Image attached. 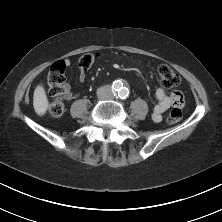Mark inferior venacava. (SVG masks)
Returning <instances> with one entry per match:
<instances>
[{"mask_svg":"<svg viewBox=\"0 0 222 222\" xmlns=\"http://www.w3.org/2000/svg\"><path fill=\"white\" fill-rule=\"evenodd\" d=\"M97 96L100 99H112L113 98V93H112V89L110 86H102L97 90Z\"/></svg>","mask_w":222,"mask_h":222,"instance_id":"inferior-vena-cava-1","label":"inferior vena cava"}]
</instances>
